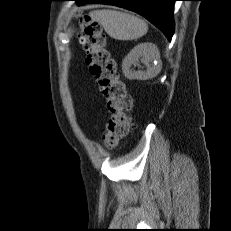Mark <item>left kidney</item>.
Listing matches in <instances>:
<instances>
[{
	"label": "left kidney",
	"instance_id": "left-kidney-1",
	"mask_svg": "<svg viewBox=\"0 0 231 231\" xmlns=\"http://www.w3.org/2000/svg\"><path fill=\"white\" fill-rule=\"evenodd\" d=\"M141 60L147 66L145 71H134L131 66ZM160 53L156 45L150 42L135 46L122 62V70L129 80H148L158 75L161 70Z\"/></svg>",
	"mask_w": 231,
	"mask_h": 231
}]
</instances>
